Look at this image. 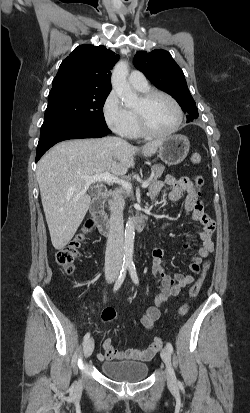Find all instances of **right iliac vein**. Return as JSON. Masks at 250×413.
<instances>
[{"instance_id": "1", "label": "right iliac vein", "mask_w": 250, "mask_h": 413, "mask_svg": "<svg viewBox=\"0 0 250 413\" xmlns=\"http://www.w3.org/2000/svg\"><path fill=\"white\" fill-rule=\"evenodd\" d=\"M115 278H116V273H114V272L109 273L107 275V280L110 283L113 282L115 280ZM93 349H94V341H93L92 338H90L84 343V347H83L84 356L86 358L89 357L92 354Z\"/></svg>"}]
</instances>
